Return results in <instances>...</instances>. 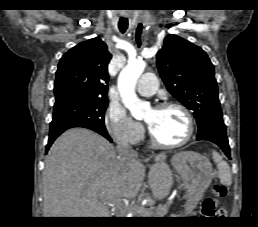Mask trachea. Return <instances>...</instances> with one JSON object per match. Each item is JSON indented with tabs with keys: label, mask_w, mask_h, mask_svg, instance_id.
Returning a JSON list of instances; mask_svg holds the SVG:
<instances>
[{
	"label": "trachea",
	"mask_w": 258,
	"mask_h": 227,
	"mask_svg": "<svg viewBox=\"0 0 258 227\" xmlns=\"http://www.w3.org/2000/svg\"><path fill=\"white\" fill-rule=\"evenodd\" d=\"M118 26H119L120 31H121L122 33H125V31H126L127 28H128V21L125 20V19H121V20L119 21Z\"/></svg>",
	"instance_id": "3493384b"
}]
</instances>
